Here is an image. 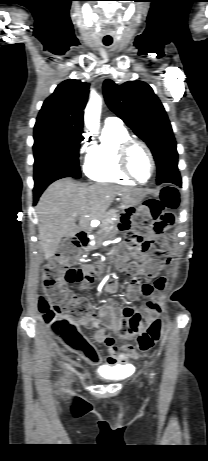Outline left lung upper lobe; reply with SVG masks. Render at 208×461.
<instances>
[{"label":"left lung upper lobe","instance_id":"left-lung-upper-lobe-1","mask_svg":"<svg viewBox=\"0 0 208 461\" xmlns=\"http://www.w3.org/2000/svg\"><path fill=\"white\" fill-rule=\"evenodd\" d=\"M108 107L151 149L157 164V183L178 171V153L166 111L152 88L143 81L103 85Z\"/></svg>","mask_w":208,"mask_h":461}]
</instances>
